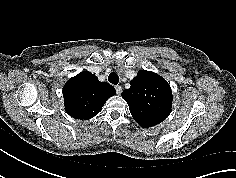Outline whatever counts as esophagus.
<instances>
[{
	"mask_svg": "<svg viewBox=\"0 0 236 178\" xmlns=\"http://www.w3.org/2000/svg\"><path fill=\"white\" fill-rule=\"evenodd\" d=\"M115 90H116V93H117V94H121V92H122V87L119 86V85H117V86H115Z\"/></svg>",
	"mask_w": 236,
	"mask_h": 178,
	"instance_id": "1",
	"label": "esophagus"
}]
</instances>
